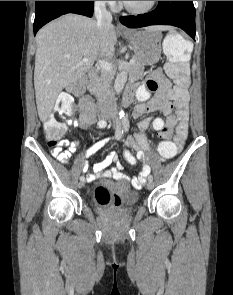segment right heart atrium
<instances>
[{"instance_id": "obj_1", "label": "right heart atrium", "mask_w": 233, "mask_h": 295, "mask_svg": "<svg viewBox=\"0 0 233 295\" xmlns=\"http://www.w3.org/2000/svg\"><path fill=\"white\" fill-rule=\"evenodd\" d=\"M97 2L104 4V5L111 6V7L115 6V4H116V1H97Z\"/></svg>"}]
</instances>
